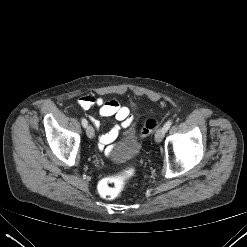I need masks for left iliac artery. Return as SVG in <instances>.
<instances>
[{
	"label": "left iliac artery",
	"mask_w": 247,
	"mask_h": 247,
	"mask_svg": "<svg viewBox=\"0 0 247 247\" xmlns=\"http://www.w3.org/2000/svg\"><path fill=\"white\" fill-rule=\"evenodd\" d=\"M171 125H172V120H168V121L164 124L163 128H164L165 132L170 128Z\"/></svg>",
	"instance_id": "44dca946"
}]
</instances>
